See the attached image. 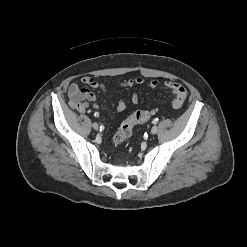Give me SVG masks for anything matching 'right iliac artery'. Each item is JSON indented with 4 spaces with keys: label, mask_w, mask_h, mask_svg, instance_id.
<instances>
[{
    "label": "right iliac artery",
    "mask_w": 247,
    "mask_h": 247,
    "mask_svg": "<svg viewBox=\"0 0 247 247\" xmlns=\"http://www.w3.org/2000/svg\"><path fill=\"white\" fill-rule=\"evenodd\" d=\"M95 116H96V117H98V116H99V114H98V113H95Z\"/></svg>",
    "instance_id": "82829eb1"
}]
</instances>
